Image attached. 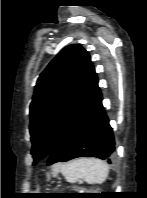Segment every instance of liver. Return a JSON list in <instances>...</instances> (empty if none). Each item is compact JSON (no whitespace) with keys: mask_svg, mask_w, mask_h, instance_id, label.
Masks as SVG:
<instances>
[{"mask_svg":"<svg viewBox=\"0 0 147 198\" xmlns=\"http://www.w3.org/2000/svg\"><path fill=\"white\" fill-rule=\"evenodd\" d=\"M59 169H60V166L59 165L56 166L55 169H54V173H57L59 171Z\"/></svg>","mask_w":147,"mask_h":198,"instance_id":"1","label":"liver"}]
</instances>
